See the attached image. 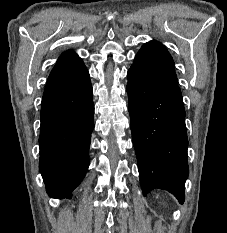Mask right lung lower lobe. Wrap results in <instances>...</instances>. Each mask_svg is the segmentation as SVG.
I'll list each match as a JSON object with an SVG mask.
<instances>
[{"label":"right lung lower lobe","mask_w":227,"mask_h":233,"mask_svg":"<svg viewBox=\"0 0 227 233\" xmlns=\"http://www.w3.org/2000/svg\"><path fill=\"white\" fill-rule=\"evenodd\" d=\"M90 79L41 107L39 169L52 198H70L89 166L94 105Z\"/></svg>","instance_id":"obj_1"}]
</instances>
